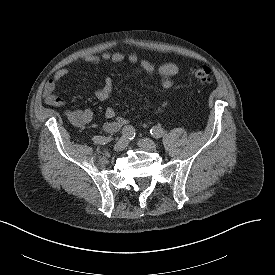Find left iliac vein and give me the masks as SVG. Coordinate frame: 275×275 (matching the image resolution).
Listing matches in <instances>:
<instances>
[{"mask_svg": "<svg viewBox=\"0 0 275 275\" xmlns=\"http://www.w3.org/2000/svg\"><path fill=\"white\" fill-rule=\"evenodd\" d=\"M138 146L144 150L156 151L157 145L155 142L149 138H143L138 140Z\"/></svg>", "mask_w": 275, "mask_h": 275, "instance_id": "1", "label": "left iliac vein"}]
</instances>
